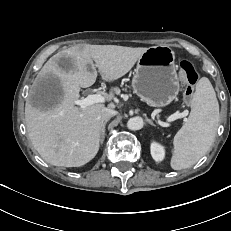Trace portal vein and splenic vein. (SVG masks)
<instances>
[{
	"mask_svg": "<svg viewBox=\"0 0 231 231\" xmlns=\"http://www.w3.org/2000/svg\"><path fill=\"white\" fill-rule=\"evenodd\" d=\"M105 101V97L101 94H89L86 98L83 99H77L74 101V104L79 105L80 108L84 109L87 106H90L95 103H103ZM182 117L181 113H175L170 116L169 120L173 121L175 119H178ZM161 126H168V123L165 122H159Z\"/></svg>",
	"mask_w": 231,
	"mask_h": 231,
	"instance_id": "18ae733b",
	"label": "portal vein and splenic vein"
}]
</instances>
